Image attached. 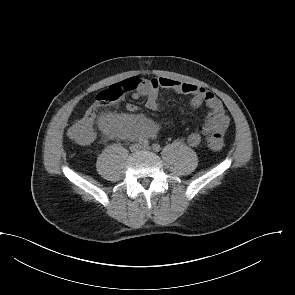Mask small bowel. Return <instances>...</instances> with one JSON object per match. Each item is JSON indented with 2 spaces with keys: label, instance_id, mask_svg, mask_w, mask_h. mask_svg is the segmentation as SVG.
Segmentation results:
<instances>
[{
  "label": "small bowel",
  "instance_id": "small-bowel-1",
  "mask_svg": "<svg viewBox=\"0 0 295 295\" xmlns=\"http://www.w3.org/2000/svg\"><path fill=\"white\" fill-rule=\"evenodd\" d=\"M138 80L139 86L132 96L134 99L146 97L145 106L150 110L159 108V96L162 89L190 95L189 105L192 108L206 105L208 114L205 121L187 138L190 146H198L204 138L207 140L214 137L222 139L229 127L230 118L221 100L214 93L203 87L166 77ZM126 109L134 113L138 111V106L128 103ZM100 125L110 136L119 139L149 137L153 136L156 130L150 119L139 114H106L102 116Z\"/></svg>",
  "mask_w": 295,
  "mask_h": 295
}]
</instances>
